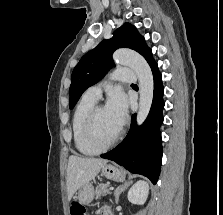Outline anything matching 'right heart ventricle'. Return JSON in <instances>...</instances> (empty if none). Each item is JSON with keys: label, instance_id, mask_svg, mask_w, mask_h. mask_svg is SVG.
Here are the masks:
<instances>
[{"label": "right heart ventricle", "instance_id": "e07e8e85", "mask_svg": "<svg viewBox=\"0 0 223 215\" xmlns=\"http://www.w3.org/2000/svg\"><path fill=\"white\" fill-rule=\"evenodd\" d=\"M95 104L96 101L84 95L76 106L72 119L74 146L79 153L87 156H94L97 154V152L88 144L85 136L86 121Z\"/></svg>", "mask_w": 223, "mask_h": 215}]
</instances>
